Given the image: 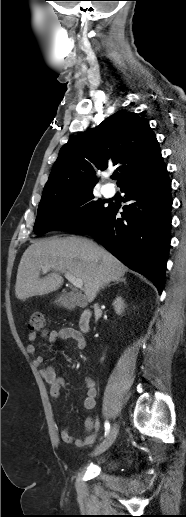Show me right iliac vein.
<instances>
[{"instance_id": "1", "label": "right iliac vein", "mask_w": 186, "mask_h": 517, "mask_svg": "<svg viewBox=\"0 0 186 517\" xmlns=\"http://www.w3.org/2000/svg\"><path fill=\"white\" fill-rule=\"evenodd\" d=\"M118 432H119V426L117 423H114L106 440L93 451V455L97 456V455L104 453L106 450H108L111 447V445L114 443Z\"/></svg>"}]
</instances>
